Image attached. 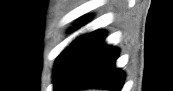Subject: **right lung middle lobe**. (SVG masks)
Masks as SVG:
<instances>
[{"instance_id":"1","label":"right lung middle lobe","mask_w":173,"mask_h":91,"mask_svg":"<svg viewBox=\"0 0 173 91\" xmlns=\"http://www.w3.org/2000/svg\"><path fill=\"white\" fill-rule=\"evenodd\" d=\"M65 51H66V50H65ZM65 51H63V52L61 53V55L59 56V58H58V60H57V62H56V66H55V67H57V65H58L59 61L61 60L62 56L64 55Z\"/></svg>"}]
</instances>
